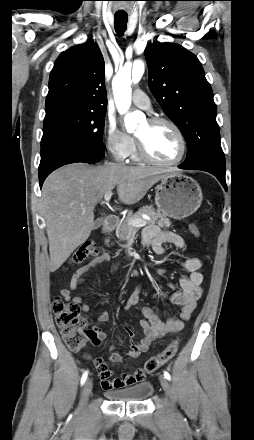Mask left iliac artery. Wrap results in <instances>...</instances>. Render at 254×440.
<instances>
[{"label":"left iliac artery","instance_id":"obj_1","mask_svg":"<svg viewBox=\"0 0 254 440\" xmlns=\"http://www.w3.org/2000/svg\"><path fill=\"white\" fill-rule=\"evenodd\" d=\"M164 377H165L167 380H170V379H171L170 374H169L168 372H166V371H164Z\"/></svg>","mask_w":254,"mask_h":440}]
</instances>
